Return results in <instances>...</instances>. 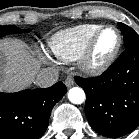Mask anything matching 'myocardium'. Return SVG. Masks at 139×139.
<instances>
[{
    "mask_svg": "<svg viewBox=\"0 0 139 139\" xmlns=\"http://www.w3.org/2000/svg\"><path fill=\"white\" fill-rule=\"evenodd\" d=\"M106 30H114L117 34L118 41L113 52L103 61L95 62L93 60L94 50L96 43L103 32ZM123 44V37L120 30L113 25L102 26L97 30L91 39L89 40L87 46L85 47L83 53L78 59L80 69L87 75L97 76L106 72L116 61Z\"/></svg>",
    "mask_w": 139,
    "mask_h": 139,
    "instance_id": "f54148a6",
    "label": "myocardium"
}]
</instances>
